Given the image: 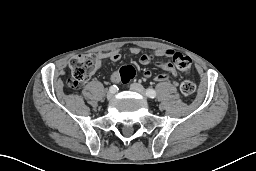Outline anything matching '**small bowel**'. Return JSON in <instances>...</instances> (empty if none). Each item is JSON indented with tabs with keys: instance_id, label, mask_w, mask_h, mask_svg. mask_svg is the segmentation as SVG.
I'll use <instances>...</instances> for the list:
<instances>
[{
	"instance_id": "c3829d8e",
	"label": "small bowel",
	"mask_w": 256,
	"mask_h": 171,
	"mask_svg": "<svg viewBox=\"0 0 256 171\" xmlns=\"http://www.w3.org/2000/svg\"><path fill=\"white\" fill-rule=\"evenodd\" d=\"M128 52L132 55H139L140 49L137 47H132L128 50ZM177 54H180V53L175 52L170 49L154 50L149 53L141 54L139 57V62L142 65H147L156 59L164 58L165 61L157 60L156 65L167 70L168 74H160V75L155 76L156 81L163 82V81L168 80L171 76H173V77L176 76V64L174 62V56ZM97 56L101 60L109 59L112 62H118L122 57V53L119 50H112L110 52H100V53H98ZM144 76L150 77L151 72L148 70L144 71ZM112 80L119 81L117 72L113 73Z\"/></svg>"
}]
</instances>
